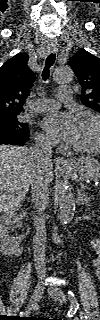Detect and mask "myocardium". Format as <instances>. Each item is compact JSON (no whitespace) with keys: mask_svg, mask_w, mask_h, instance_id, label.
<instances>
[{"mask_svg":"<svg viewBox=\"0 0 100 320\" xmlns=\"http://www.w3.org/2000/svg\"><path fill=\"white\" fill-rule=\"evenodd\" d=\"M82 122H89V123H93L95 125L96 133H97L95 144L93 146L87 147V148L73 146L72 150L77 153H82V154L95 153L100 150V120L97 116L89 115V116L83 117Z\"/></svg>","mask_w":100,"mask_h":320,"instance_id":"f54148a6","label":"myocardium"}]
</instances>
